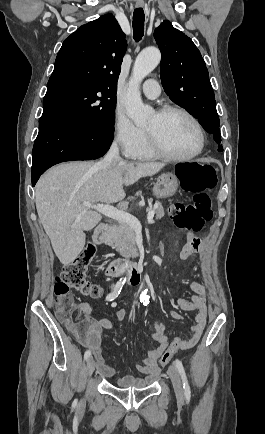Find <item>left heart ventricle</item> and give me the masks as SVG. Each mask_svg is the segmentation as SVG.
<instances>
[{"mask_svg": "<svg viewBox=\"0 0 265 434\" xmlns=\"http://www.w3.org/2000/svg\"><path fill=\"white\" fill-rule=\"evenodd\" d=\"M145 128L154 131L160 144L172 154L187 155L197 148L196 128L182 113L171 112L164 118L155 114Z\"/></svg>", "mask_w": 265, "mask_h": 434, "instance_id": "left-heart-ventricle-1", "label": "left heart ventricle"}]
</instances>
